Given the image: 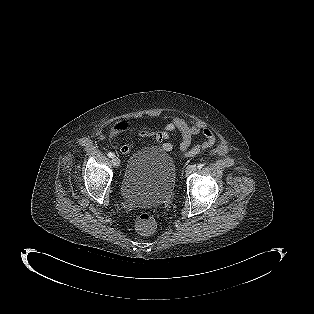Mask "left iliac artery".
Listing matches in <instances>:
<instances>
[{"label":"left iliac artery","instance_id":"44dca946","mask_svg":"<svg viewBox=\"0 0 314 314\" xmlns=\"http://www.w3.org/2000/svg\"><path fill=\"white\" fill-rule=\"evenodd\" d=\"M202 167H203V164H198V165H197V168H198V169H201Z\"/></svg>","mask_w":314,"mask_h":314}]
</instances>
